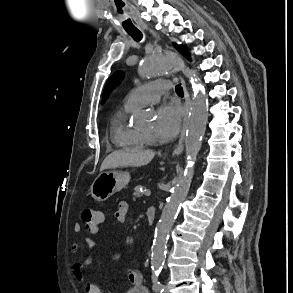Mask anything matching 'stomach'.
<instances>
[{
    "instance_id": "stomach-1",
    "label": "stomach",
    "mask_w": 293,
    "mask_h": 293,
    "mask_svg": "<svg viewBox=\"0 0 293 293\" xmlns=\"http://www.w3.org/2000/svg\"><path fill=\"white\" fill-rule=\"evenodd\" d=\"M129 181L130 175L127 172H103L92 183L90 194L94 200L102 202L125 188Z\"/></svg>"
}]
</instances>
